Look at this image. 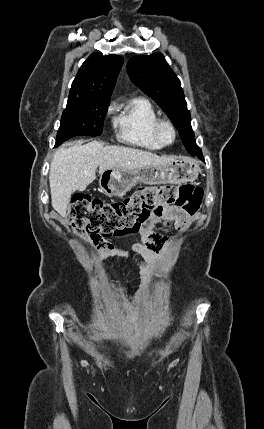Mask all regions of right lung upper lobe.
I'll use <instances>...</instances> for the list:
<instances>
[{
  "instance_id": "1",
  "label": "right lung upper lobe",
  "mask_w": 264,
  "mask_h": 429,
  "mask_svg": "<svg viewBox=\"0 0 264 429\" xmlns=\"http://www.w3.org/2000/svg\"><path fill=\"white\" fill-rule=\"evenodd\" d=\"M122 64L119 55L91 54L80 67L69 97L109 100Z\"/></svg>"
}]
</instances>
